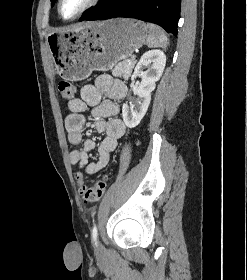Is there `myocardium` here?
I'll use <instances>...</instances> for the list:
<instances>
[{
  "label": "myocardium",
  "mask_w": 247,
  "mask_h": 280,
  "mask_svg": "<svg viewBox=\"0 0 247 280\" xmlns=\"http://www.w3.org/2000/svg\"><path fill=\"white\" fill-rule=\"evenodd\" d=\"M100 1L101 0H89L88 3L79 12H77L74 16H72L70 18H65V17L62 16V13H61V5H62L63 0H58V2H57V13L62 20L73 21V20H76L79 17H81L83 14L88 12L93 7H95Z\"/></svg>",
  "instance_id": "obj_1"
}]
</instances>
